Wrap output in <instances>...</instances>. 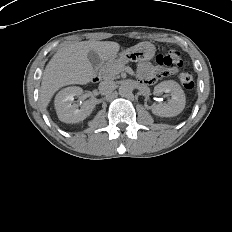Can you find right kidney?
<instances>
[{"label":"right kidney","instance_id":"ca27d5eb","mask_svg":"<svg viewBox=\"0 0 232 232\" xmlns=\"http://www.w3.org/2000/svg\"><path fill=\"white\" fill-rule=\"evenodd\" d=\"M80 87H67L58 92L55 97V109L60 121L64 123H78L86 119L94 110L95 103L92 100L85 101L81 108L72 104L74 96L82 95Z\"/></svg>","mask_w":232,"mask_h":232}]
</instances>
